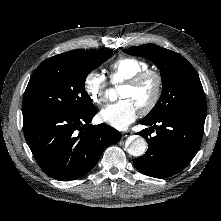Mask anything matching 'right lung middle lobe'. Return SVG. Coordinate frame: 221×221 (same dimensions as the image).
Wrapping results in <instances>:
<instances>
[{
  "instance_id": "right-lung-middle-lobe-1",
  "label": "right lung middle lobe",
  "mask_w": 221,
  "mask_h": 221,
  "mask_svg": "<svg viewBox=\"0 0 221 221\" xmlns=\"http://www.w3.org/2000/svg\"><path fill=\"white\" fill-rule=\"evenodd\" d=\"M113 50L76 56L56 55L43 61L29 80L22 112L80 115L95 109L84 88L87 75L103 64Z\"/></svg>"
}]
</instances>
